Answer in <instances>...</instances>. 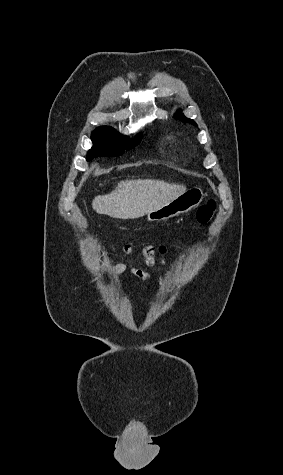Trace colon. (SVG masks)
Here are the masks:
<instances>
[{"mask_svg":"<svg viewBox=\"0 0 283 475\" xmlns=\"http://www.w3.org/2000/svg\"><path fill=\"white\" fill-rule=\"evenodd\" d=\"M215 212L216 203L214 201H209L201 205L196 213V224L200 226L208 224L213 219ZM112 249L114 251L119 250L116 246H114ZM122 251L126 256L133 254L131 246L128 245H126ZM158 255L159 254L155 251L153 246L144 247L142 250V256L148 265L154 264Z\"/></svg>","mask_w":283,"mask_h":475,"instance_id":"colon-1","label":"colon"}]
</instances>
